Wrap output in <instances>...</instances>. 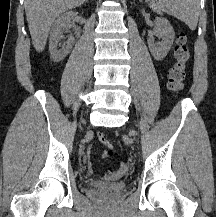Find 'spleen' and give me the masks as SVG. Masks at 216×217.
I'll return each instance as SVG.
<instances>
[{
  "label": "spleen",
  "mask_w": 216,
  "mask_h": 217,
  "mask_svg": "<svg viewBox=\"0 0 216 217\" xmlns=\"http://www.w3.org/2000/svg\"><path fill=\"white\" fill-rule=\"evenodd\" d=\"M158 7L165 13L184 22L191 30L198 23L199 0H157Z\"/></svg>",
  "instance_id": "3e777b00"
}]
</instances>
